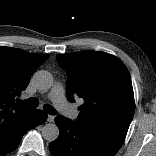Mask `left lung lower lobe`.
Here are the masks:
<instances>
[{"label":"left lung lower lobe","mask_w":156,"mask_h":156,"mask_svg":"<svg viewBox=\"0 0 156 156\" xmlns=\"http://www.w3.org/2000/svg\"><path fill=\"white\" fill-rule=\"evenodd\" d=\"M55 122L60 134L50 143L53 156H114L124 141L109 132L82 127L61 115Z\"/></svg>","instance_id":"0a47b994"}]
</instances>
